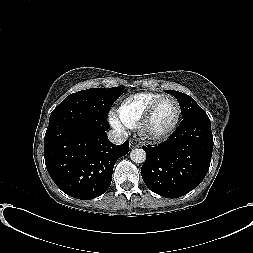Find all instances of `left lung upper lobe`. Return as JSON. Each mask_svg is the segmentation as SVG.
Here are the masks:
<instances>
[{
  "label": "left lung upper lobe",
  "instance_id": "left-lung-upper-lobe-1",
  "mask_svg": "<svg viewBox=\"0 0 253 253\" xmlns=\"http://www.w3.org/2000/svg\"><path fill=\"white\" fill-rule=\"evenodd\" d=\"M164 91L173 95L178 100L183 119L196 114H205L203 109L189 95L173 90Z\"/></svg>",
  "mask_w": 253,
  "mask_h": 253
}]
</instances>
